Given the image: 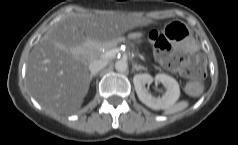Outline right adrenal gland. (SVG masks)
<instances>
[{"label": "right adrenal gland", "instance_id": "2a0ac1e0", "mask_svg": "<svg viewBox=\"0 0 238 145\" xmlns=\"http://www.w3.org/2000/svg\"><path fill=\"white\" fill-rule=\"evenodd\" d=\"M97 74H90V81H92L93 77H95Z\"/></svg>", "mask_w": 238, "mask_h": 145}]
</instances>
